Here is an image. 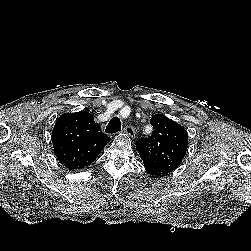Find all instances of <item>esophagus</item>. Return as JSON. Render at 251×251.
<instances>
[{
    "label": "esophagus",
    "instance_id": "esophagus-1",
    "mask_svg": "<svg viewBox=\"0 0 251 251\" xmlns=\"http://www.w3.org/2000/svg\"><path fill=\"white\" fill-rule=\"evenodd\" d=\"M124 132H126L131 138H133L135 135V130L132 126H126L124 128Z\"/></svg>",
    "mask_w": 251,
    "mask_h": 251
}]
</instances>
